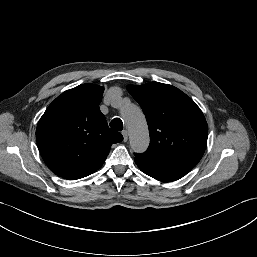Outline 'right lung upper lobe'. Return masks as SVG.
<instances>
[{"instance_id": "right-lung-upper-lobe-1", "label": "right lung upper lobe", "mask_w": 257, "mask_h": 257, "mask_svg": "<svg viewBox=\"0 0 257 257\" xmlns=\"http://www.w3.org/2000/svg\"><path fill=\"white\" fill-rule=\"evenodd\" d=\"M104 88L86 83L63 92L38 122L36 140L49 169L66 179L98 170L123 136L108 127L99 109Z\"/></svg>"}]
</instances>
